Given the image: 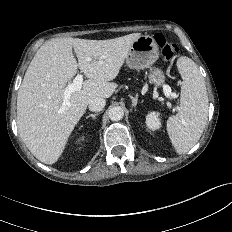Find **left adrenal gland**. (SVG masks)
Here are the masks:
<instances>
[{
    "label": "left adrenal gland",
    "instance_id": "left-adrenal-gland-1",
    "mask_svg": "<svg viewBox=\"0 0 232 232\" xmlns=\"http://www.w3.org/2000/svg\"><path fill=\"white\" fill-rule=\"evenodd\" d=\"M130 98L132 100V106L136 107L137 103H138V98L137 97H133V96H130Z\"/></svg>",
    "mask_w": 232,
    "mask_h": 232
}]
</instances>
